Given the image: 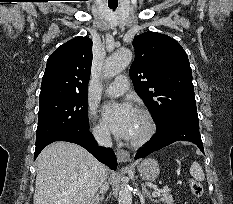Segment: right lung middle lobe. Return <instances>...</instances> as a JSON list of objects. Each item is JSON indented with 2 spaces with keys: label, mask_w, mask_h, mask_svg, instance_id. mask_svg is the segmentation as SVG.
Segmentation results:
<instances>
[{
  "label": "right lung middle lobe",
  "mask_w": 233,
  "mask_h": 204,
  "mask_svg": "<svg viewBox=\"0 0 233 204\" xmlns=\"http://www.w3.org/2000/svg\"><path fill=\"white\" fill-rule=\"evenodd\" d=\"M36 145L63 133L89 130L87 96L39 101Z\"/></svg>",
  "instance_id": "obj_1"
}]
</instances>
